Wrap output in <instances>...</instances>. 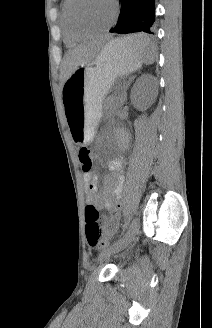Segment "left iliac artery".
Wrapping results in <instances>:
<instances>
[{
  "label": "left iliac artery",
  "instance_id": "44dca946",
  "mask_svg": "<svg viewBox=\"0 0 212 328\" xmlns=\"http://www.w3.org/2000/svg\"><path fill=\"white\" fill-rule=\"evenodd\" d=\"M130 220H131V215H128L127 218H126V220H125V223H124V225H123V231H122V234H123V232L127 229V226H128V224H129Z\"/></svg>",
  "mask_w": 212,
  "mask_h": 328
}]
</instances>
